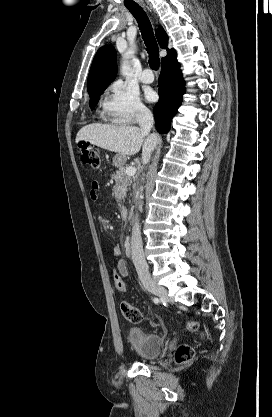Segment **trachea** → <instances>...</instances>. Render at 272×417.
<instances>
[{
  "mask_svg": "<svg viewBox=\"0 0 272 417\" xmlns=\"http://www.w3.org/2000/svg\"><path fill=\"white\" fill-rule=\"evenodd\" d=\"M128 10L132 13V15L137 20L141 34L144 40V43L147 47L148 54H149V64L151 69L158 70L159 69V48L157 41L155 39L153 28L151 22L143 11L140 6H130L127 7Z\"/></svg>",
  "mask_w": 272,
  "mask_h": 417,
  "instance_id": "trachea-1",
  "label": "trachea"
}]
</instances>
